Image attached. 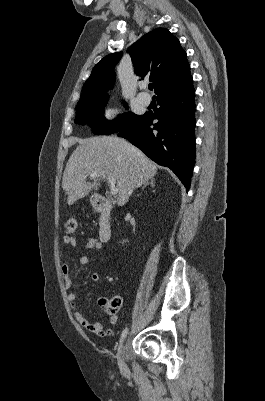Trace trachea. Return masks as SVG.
<instances>
[{
  "label": "trachea",
  "mask_w": 265,
  "mask_h": 401,
  "mask_svg": "<svg viewBox=\"0 0 265 401\" xmlns=\"http://www.w3.org/2000/svg\"><path fill=\"white\" fill-rule=\"evenodd\" d=\"M148 88H149V90H153L154 85L152 83H149Z\"/></svg>",
  "instance_id": "trachea-1"
}]
</instances>
